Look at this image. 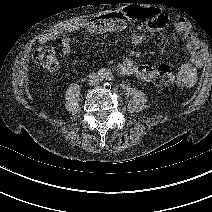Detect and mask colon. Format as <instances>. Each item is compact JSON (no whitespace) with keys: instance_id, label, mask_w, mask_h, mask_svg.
I'll return each instance as SVG.
<instances>
[{"instance_id":"5ec220e1","label":"colon","mask_w":212,"mask_h":212,"mask_svg":"<svg viewBox=\"0 0 212 212\" xmlns=\"http://www.w3.org/2000/svg\"><path fill=\"white\" fill-rule=\"evenodd\" d=\"M34 60L48 71H55L58 67L56 53L48 47L36 49L33 52ZM155 80L158 85L169 86L176 81V73L169 64H160L156 70Z\"/></svg>"}]
</instances>
